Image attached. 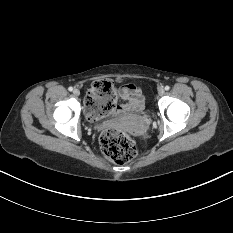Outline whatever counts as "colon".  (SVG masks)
<instances>
[{
  "label": "colon",
  "instance_id": "obj_1",
  "mask_svg": "<svg viewBox=\"0 0 233 233\" xmlns=\"http://www.w3.org/2000/svg\"><path fill=\"white\" fill-rule=\"evenodd\" d=\"M116 90L112 82L99 80L93 83L86 100V111L91 119H99L115 111ZM100 146L106 158L117 164H124L136 155L131 136L119 129L105 130L100 136Z\"/></svg>",
  "mask_w": 233,
  "mask_h": 233
}]
</instances>
